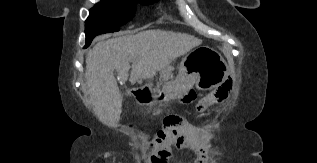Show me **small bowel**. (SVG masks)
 Masks as SVG:
<instances>
[{"label": "small bowel", "mask_w": 317, "mask_h": 163, "mask_svg": "<svg viewBox=\"0 0 317 163\" xmlns=\"http://www.w3.org/2000/svg\"><path fill=\"white\" fill-rule=\"evenodd\" d=\"M160 149L152 157L151 163H170L174 152L189 149L195 154L194 163H207L208 154L202 149L192 126L182 118L170 116L165 118L162 128L157 133Z\"/></svg>", "instance_id": "obj_1"}]
</instances>
